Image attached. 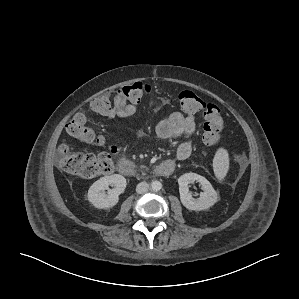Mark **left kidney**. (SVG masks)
Here are the masks:
<instances>
[{
    "instance_id": "1",
    "label": "left kidney",
    "mask_w": 299,
    "mask_h": 299,
    "mask_svg": "<svg viewBox=\"0 0 299 299\" xmlns=\"http://www.w3.org/2000/svg\"><path fill=\"white\" fill-rule=\"evenodd\" d=\"M198 182L203 189L198 199L192 197L189 191V184ZM180 200L183 206L189 210L202 211L213 206L218 196L211 183L203 176L196 173H185L178 179Z\"/></svg>"
}]
</instances>
